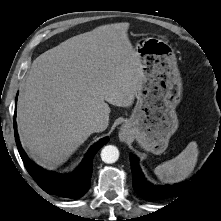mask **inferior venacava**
Instances as JSON below:
<instances>
[{
    "label": "inferior vena cava",
    "mask_w": 221,
    "mask_h": 221,
    "mask_svg": "<svg viewBox=\"0 0 221 221\" xmlns=\"http://www.w3.org/2000/svg\"><path fill=\"white\" fill-rule=\"evenodd\" d=\"M108 126V119L105 117H97L91 122V129L93 132H102Z\"/></svg>",
    "instance_id": "obj_1"
}]
</instances>
